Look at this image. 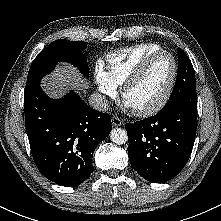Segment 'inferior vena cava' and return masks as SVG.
Returning <instances> with one entry per match:
<instances>
[{
  "mask_svg": "<svg viewBox=\"0 0 221 221\" xmlns=\"http://www.w3.org/2000/svg\"><path fill=\"white\" fill-rule=\"evenodd\" d=\"M89 104L92 108L105 112L109 108V103L106 97L100 93H94L89 97Z\"/></svg>",
  "mask_w": 221,
  "mask_h": 221,
  "instance_id": "obj_1",
  "label": "inferior vena cava"
}]
</instances>
